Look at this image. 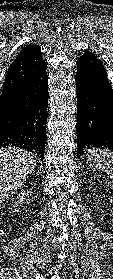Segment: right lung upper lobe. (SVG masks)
<instances>
[{
	"mask_svg": "<svg viewBox=\"0 0 113 279\" xmlns=\"http://www.w3.org/2000/svg\"><path fill=\"white\" fill-rule=\"evenodd\" d=\"M46 67L41 49L36 45H26L10 65L0 98V110L19 92L36 74Z\"/></svg>",
	"mask_w": 113,
	"mask_h": 279,
	"instance_id": "cb5924a9",
	"label": "right lung upper lobe"
}]
</instances>
